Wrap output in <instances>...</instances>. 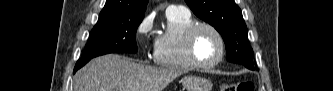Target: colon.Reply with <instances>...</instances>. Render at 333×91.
I'll return each mask as SVG.
<instances>
[{
  "instance_id": "1",
  "label": "colon",
  "mask_w": 333,
  "mask_h": 91,
  "mask_svg": "<svg viewBox=\"0 0 333 91\" xmlns=\"http://www.w3.org/2000/svg\"><path fill=\"white\" fill-rule=\"evenodd\" d=\"M222 91H253L254 85L251 81H242L239 83L224 85Z\"/></svg>"
}]
</instances>
